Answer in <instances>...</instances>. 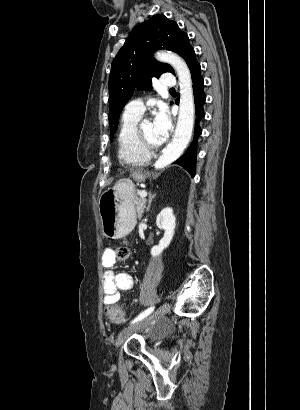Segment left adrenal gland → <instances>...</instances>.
<instances>
[{"label": "left adrenal gland", "instance_id": "obj_1", "mask_svg": "<svg viewBox=\"0 0 300 410\" xmlns=\"http://www.w3.org/2000/svg\"><path fill=\"white\" fill-rule=\"evenodd\" d=\"M155 196H156L155 194H152L151 192H149V194H148V205L146 207V212H148L150 210L152 201L155 198Z\"/></svg>", "mask_w": 300, "mask_h": 410}]
</instances>
